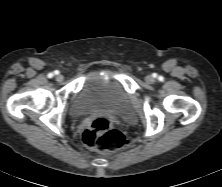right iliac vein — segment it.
<instances>
[{
    "instance_id": "obj_1",
    "label": "right iliac vein",
    "mask_w": 222,
    "mask_h": 187,
    "mask_svg": "<svg viewBox=\"0 0 222 187\" xmlns=\"http://www.w3.org/2000/svg\"><path fill=\"white\" fill-rule=\"evenodd\" d=\"M56 80H57L58 82L63 81V76H62L61 74H58V75L56 76Z\"/></svg>"
}]
</instances>
